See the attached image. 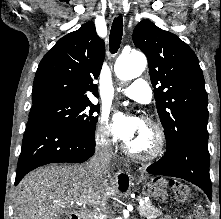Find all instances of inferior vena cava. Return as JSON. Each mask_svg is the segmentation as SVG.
<instances>
[{
  "label": "inferior vena cava",
  "instance_id": "1",
  "mask_svg": "<svg viewBox=\"0 0 221 219\" xmlns=\"http://www.w3.org/2000/svg\"><path fill=\"white\" fill-rule=\"evenodd\" d=\"M113 155L112 144L106 139H100L95 148V154L89 162V167L97 177H105L109 171Z\"/></svg>",
  "mask_w": 221,
  "mask_h": 219
}]
</instances>
